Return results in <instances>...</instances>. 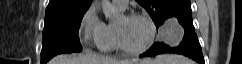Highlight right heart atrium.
Listing matches in <instances>:
<instances>
[{"instance_id": "1", "label": "right heart atrium", "mask_w": 242, "mask_h": 64, "mask_svg": "<svg viewBox=\"0 0 242 64\" xmlns=\"http://www.w3.org/2000/svg\"><path fill=\"white\" fill-rule=\"evenodd\" d=\"M79 34L82 40L88 44L98 45L109 38L107 25L98 17L94 6L89 7L82 16Z\"/></svg>"}]
</instances>
